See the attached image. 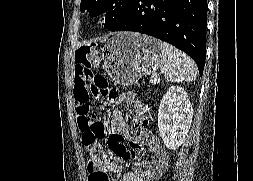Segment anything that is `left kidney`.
<instances>
[{
    "instance_id": "left-kidney-1",
    "label": "left kidney",
    "mask_w": 253,
    "mask_h": 181,
    "mask_svg": "<svg viewBox=\"0 0 253 181\" xmlns=\"http://www.w3.org/2000/svg\"><path fill=\"white\" fill-rule=\"evenodd\" d=\"M193 117V108L187 92L171 86L164 94L158 109V129L164 145L177 149L184 141Z\"/></svg>"
}]
</instances>
